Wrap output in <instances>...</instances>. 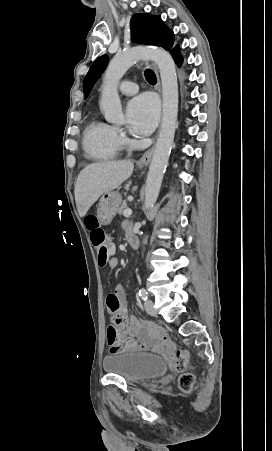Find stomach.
Returning a JSON list of instances; mask_svg holds the SVG:
<instances>
[{
    "label": "stomach",
    "mask_w": 272,
    "mask_h": 451,
    "mask_svg": "<svg viewBox=\"0 0 272 451\" xmlns=\"http://www.w3.org/2000/svg\"><path fill=\"white\" fill-rule=\"evenodd\" d=\"M122 202V198L118 192H105L99 200L97 206V218L103 226L110 224Z\"/></svg>",
    "instance_id": "stomach-1"
}]
</instances>
